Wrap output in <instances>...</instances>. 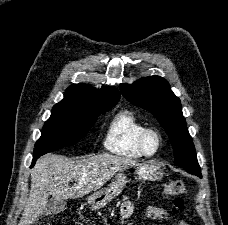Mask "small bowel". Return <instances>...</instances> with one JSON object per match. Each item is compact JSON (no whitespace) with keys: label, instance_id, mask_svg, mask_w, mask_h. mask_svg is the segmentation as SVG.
<instances>
[{"label":"small bowel","instance_id":"obj_1","mask_svg":"<svg viewBox=\"0 0 228 225\" xmlns=\"http://www.w3.org/2000/svg\"><path fill=\"white\" fill-rule=\"evenodd\" d=\"M121 214L123 218L128 219L134 214V206L132 202L125 201L121 206ZM147 217L154 220H162L169 218L168 213L162 208L150 206L146 209ZM177 225H186L184 222H179Z\"/></svg>","mask_w":228,"mask_h":225}]
</instances>
